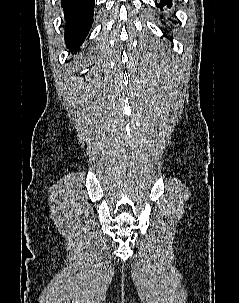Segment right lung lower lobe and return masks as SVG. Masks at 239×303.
Returning <instances> with one entry per match:
<instances>
[{
  "label": "right lung lower lobe",
  "mask_w": 239,
  "mask_h": 303,
  "mask_svg": "<svg viewBox=\"0 0 239 303\" xmlns=\"http://www.w3.org/2000/svg\"><path fill=\"white\" fill-rule=\"evenodd\" d=\"M65 13V42L72 51H77L93 22L94 0H62Z\"/></svg>",
  "instance_id": "1"
}]
</instances>
